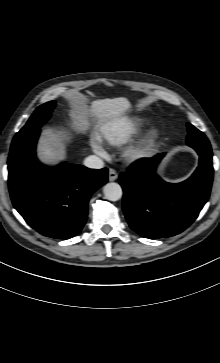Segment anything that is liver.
Returning a JSON list of instances; mask_svg holds the SVG:
<instances>
[{
    "mask_svg": "<svg viewBox=\"0 0 220 363\" xmlns=\"http://www.w3.org/2000/svg\"><path fill=\"white\" fill-rule=\"evenodd\" d=\"M131 108L128 99L120 97L113 99L95 100L91 103L90 110H82L77 119L83 124H88V115L93 113L99 119L98 125H102L107 121H117L121 116ZM60 140L52 134L47 133L38 147L39 157L46 163L54 162L61 154L59 150Z\"/></svg>",
    "mask_w": 220,
    "mask_h": 363,
    "instance_id": "obj_1",
    "label": "liver"
}]
</instances>
